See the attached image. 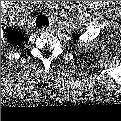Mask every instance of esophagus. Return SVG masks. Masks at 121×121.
<instances>
[{
  "label": "esophagus",
  "instance_id": "esophagus-1",
  "mask_svg": "<svg viewBox=\"0 0 121 121\" xmlns=\"http://www.w3.org/2000/svg\"><path fill=\"white\" fill-rule=\"evenodd\" d=\"M47 30H48L47 28H44V27L41 28V31H43V32H45Z\"/></svg>",
  "mask_w": 121,
  "mask_h": 121
}]
</instances>
